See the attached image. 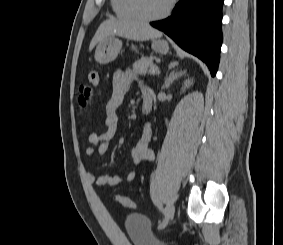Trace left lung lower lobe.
Masks as SVG:
<instances>
[{
	"label": "left lung lower lobe",
	"mask_w": 283,
	"mask_h": 245,
	"mask_svg": "<svg viewBox=\"0 0 283 245\" xmlns=\"http://www.w3.org/2000/svg\"><path fill=\"white\" fill-rule=\"evenodd\" d=\"M224 0H181L172 15L152 22L181 48L204 61L215 76L222 44V5Z\"/></svg>",
	"instance_id": "0a47b994"
}]
</instances>
